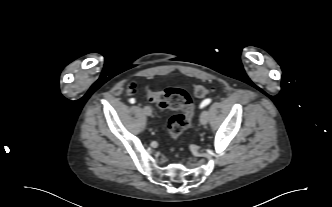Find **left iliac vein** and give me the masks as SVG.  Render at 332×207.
I'll list each match as a JSON object with an SVG mask.
<instances>
[{
	"label": "left iliac vein",
	"mask_w": 332,
	"mask_h": 207,
	"mask_svg": "<svg viewBox=\"0 0 332 207\" xmlns=\"http://www.w3.org/2000/svg\"><path fill=\"white\" fill-rule=\"evenodd\" d=\"M209 120V112L207 110L202 111L200 115V123L205 125Z\"/></svg>",
	"instance_id": "4c4485c4"
}]
</instances>
